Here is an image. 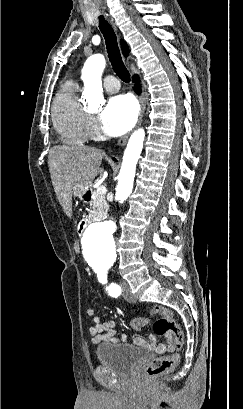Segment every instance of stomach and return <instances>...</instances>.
I'll return each instance as SVG.
<instances>
[{"mask_svg":"<svg viewBox=\"0 0 243 409\" xmlns=\"http://www.w3.org/2000/svg\"><path fill=\"white\" fill-rule=\"evenodd\" d=\"M72 192L74 193L75 196L83 198L87 192V186L78 183L74 184Z\"/></svg>","mask_w":243,"mask_h":409,"instance_id":"obj_1","label":"stomach"}]
</instances>
